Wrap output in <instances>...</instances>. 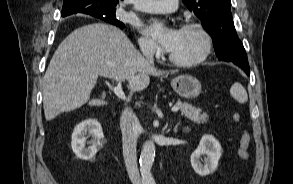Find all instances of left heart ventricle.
<instances>
[{"mask_svg": "<svg viewBox=\"0 0 293 184\" xmlns=\"http://www.w3.org/2000/svg\"><path fill=\"white\" fill-rule=\"evenodd\" d=\"M203 39L196 30H180L178 41L170 53L180 60H191L203 49Z\"/></svg>", "mask_w": 293, "mask_h": 184, "instance_id": "obj_1", "label": "left heart ventricle"}]
</instances>
